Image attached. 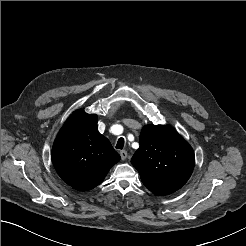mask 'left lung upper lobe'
Returning a JSON list of instances; mask_svg holds the SVG:
<instances>
[{
	"label": "left lung upper lobe",
	"mask_w": 246,
	"mask_h": 246,
	"mask_svg": "<svg viewBox=\"0 0 246 246\" xmlns=\"http://www.w3.org/2000/svg\"><path fill=\"white\" fill-rule=\"evenodd\" d=\"M144 185L156 195L180 189L190 178L195 156L191 146L170 126L146 125L131 159Z\"/></svg>",
	"instance_id": "left-lung-upper-lobe-1"
}]
</instances>
